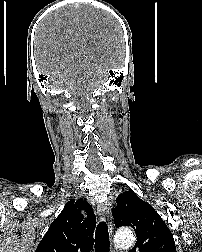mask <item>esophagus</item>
<instances>
[{"label": "esophagus", "mask_w": 202, "mask_h": 252, "mask_svg": "<svg viewBox=\"0 0 202 252\" xmlns=\"http://www.w3.org/2000/svg\"><path fill=\"white\" fill-rule=\"evenodd\" d=\"M97 214H98L99 218L105 219L107 221L109 231L112 234L113 230H114V226H113L111 212H110L109 208H104V206L98 204L97 205Z\"/></svg>", "instance_id": "34e87169"}]
</instances>
